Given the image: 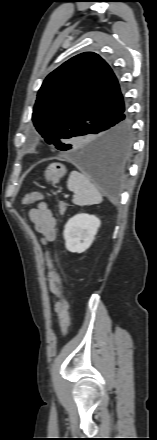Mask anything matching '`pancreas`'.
Listing matches in <instances>:
<instances>
[{
  "label": "pancreas",
  "mask_w": 157,
  "mask_h": 440,
  "mask_svg": "<svg viewBox=\"0 0 157 440\" xmlns=\"http://www.w3.org/2000/svg\"><path fill=\"white\" fill-rule=\"evenodd\" d=\"M67 204L65 202H59V212L60 215H64L66 211Z\"/></svg>",
  "instance_id": "cf45deb5"
}]
</instances>
